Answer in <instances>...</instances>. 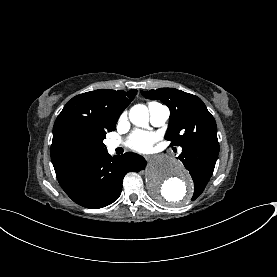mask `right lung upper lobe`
Here are the masks:
<instances>
[{
    "label": "right lung upper lobe",
    "mask_w": 277,
    "mask_h": 277,
    "mask_svg": "<svg viewBox=\"0 0 277 277\" xmlns=\"http://www.w3.org/2000/svg\"><path fill=\"white\" fill-rule=\"evenodd\" d=\"M136 94L135 89L128 92L102 89L77 95L68 101L53 127L50 152L54 169L70 165L63 160L78 141L98 142L107 132L114 131L120 114Z\"/></svg>",
    "instance_id": "right-lung-upper-lobe-1"
}]
</instances>
